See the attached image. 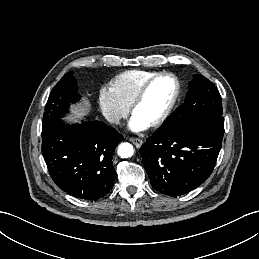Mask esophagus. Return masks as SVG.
<instances>
[{
	"label": "esophagus",
	"instance_id": "1",
	"mask_svg": "<svg viewBox=\"0 0 259 259\" xmlns=\"http://www.w3.org/2000/svg\"><path fill=\"white\" fill-rule=\"evenodd\" d=\"M129 141H131L137 148H140L143 144V140L139 138H129Z\"/></svg>",
	"mask_w": 259,
	"mask_h": 259
}]
</instances>
